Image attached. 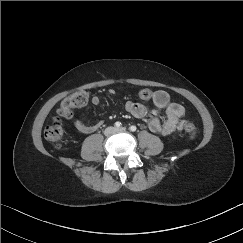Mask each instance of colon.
Instances as JSON below:
<instances>
[{
	"label": "colon",
	"instance_id": "colon-1",
	"mask_svg": "<svg viewBox=\"0 0 243 243\" xmlns=\"http://www.w3.org/2000/svg\"><path fill=\"white\" fill-rule=\"evenodd\" d=\"M145 96H149L146 92ZM89 101V93L87 90H78L75 93L64 98L56 113L54 114L52 120L45 126L44 136L45 138L60 147V140L63 136V127L61 123V118H70L73 114L75 108L82 107ZM185 132L190 138H195L197 136V127L193 123H187L185 125Z\"/></svg>",
	"mask_w": 243,
	"mask_h": 243
}]
</instances>
